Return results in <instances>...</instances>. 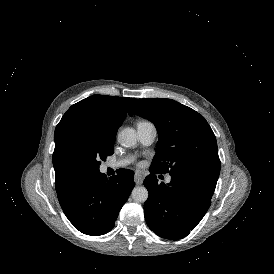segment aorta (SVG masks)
I'll return each instance as SVG.
<instances>
[{
    "label": "aorta",
    "instance_id": "obj_1",
    "mask_svg": "<svg viewBox=\"0 0 274 274\" xmlns=\"http://www.w3.org/2000/svg\"><path fill=\"white\" fill-rule=\"evenodd\" d=\"M118 142L124 147H132L137 142V136L132 128H125L118 134ZM131 196L135 202H145L149 193L144 186L135 187Z\"/></svg>",
    "mask_w": 274,
    "mask_h": 274
}]
</instances>
